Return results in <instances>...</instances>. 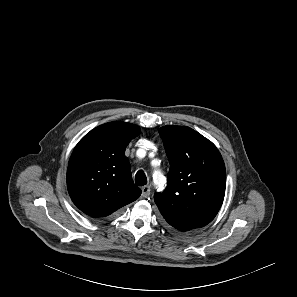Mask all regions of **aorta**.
Returning <instances> with one entry per match:
<instances>
[{
    "label": "aorta",
    "instance_id": "1",
    "mask_svg": "<svg viewBox=\"0 0 297 297\" xmlns=\"http://www.w3.org/2000/svg\"><path fill=\"white\" fill-rule=\"evenodd\" d=\"M155 183H156V185H158V186L164 184V176L162 175L161 172H156V173H155Z\"/></svg>",
    "mask_w": 297,
    "mask_h": 297
}]
</instances>
